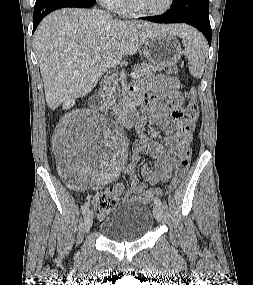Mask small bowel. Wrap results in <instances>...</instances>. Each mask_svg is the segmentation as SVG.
Masks as SVG:
<instances>
[{
  "mask_svg": "<svg viewBox=\"0 0 253 285\" xmlns=\"http://www.w3.org/2000/svg\"><path fill=\"white\" fill-rule=\"evenodd\" d=\"M179 81L175 77L157 75L145 83L132 88V97L140 101L144 108V117L140 121L141 141L134 146V156L131 163L124 169V173L131 178V184L126 192L125 201L149 203L152 199L148 195L145 183L139 181L136 173V163L142 150L156 159L155 168L150 164H143L141 175L144 180L156 185L169 179L178 160L190 143L191 132L195 127L183 116L184 94L179 90ZM147 122L168 132L165 145L153 140L145 132ZM61 155L67 153L65 143L59 146ZM118 198L124 192V185L117 183L111 190ZM161 194V192L156 195ZM155 195V196H156ZM154 197V196H153Z\"/></svg>",
  "mask_w": 253,
  "mask_h": 285,
  "instance_id": "1",
  "label": "small bowel"
}]
</instances>
